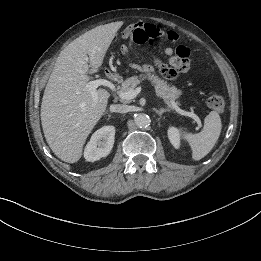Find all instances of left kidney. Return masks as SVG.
Here are the masks:
<instances>
[{"instance_id": "left-kidney-1", "label": "left kidney", "mask_w": 261, "mask_h": 261, "mask_svg": "<svg viewBox=\"0 0 261 261\" xmlns=\"http://www.w3.org/2000/svg\"><path fill=\"white\" fill-rule=\"evenodd\" d=\"M168 138L171 142V144L174 146V148L178 149L180 147V134L179 130L175 127H170L168 129Z\"/></svg>"}]
</instances>
